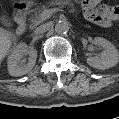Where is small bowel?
I'll return each mask as SVG.
<instances>
[{
  "label": "small bowel",
  "mask_w": 119,
  "mask_h": 119,
  "mask_svg": "<svg viewBox=\"0 0 119 119\" xmlns=\"http://www.w3.org/2000/svg\"><path fill=\"white\" fill-rule=\"evenodd\" d=\"M84 17L103 28L110 27L119 19V7L100 3L97 0H84L81 2Z\"/></svg>",
  "instance_id": "c3829d8e"
}]
</instances>
